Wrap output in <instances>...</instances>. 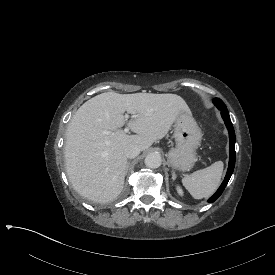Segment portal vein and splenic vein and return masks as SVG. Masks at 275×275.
I'll list each match as a JSON object with an SVG mask.
<instances>
[{
    "instance_id": "18ae733b",
    "label": "portal vein and splenic vein",
    "mask_w": 275,
    "mask_h": 275,
    "mask_svg": "<svg viewBox=\"0 0 275 275\" xmlns=\"http://www.w3.org/2000/svg\"><path fill=\"white\" fill-rule=\"evenodd\" d=\"M132 117L135 118V117H137V115H133ZM125 118L128 119V118H129V115H128V114H125ZM124 132H126V133L129 132V128L126 127V128L124 129ZM103 133L106 134V135L111 134L110 131H103Z\"/></svg>"
}]
</instances>
